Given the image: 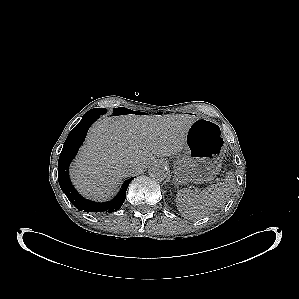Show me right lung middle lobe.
Masks as SVG:
<instances>
[{
    "mask_svg": "<svg viewBox=\"0 0 299 299\" xmlns=\"http://www.w3.org/2000/svg\"><path fill=\"white\" fill-rule=\"evenodd\" d=\"M105 113H106L105 108H94V109L89 110L84 116L93 115V114L103 115Z\"/></svg>",
    "mask_w": 299,
    "mask_h": 299,
    "instance_id": "1",
    "label": "right lung middle lobe"
}]
</instances>
